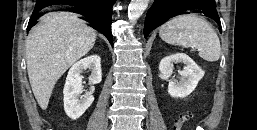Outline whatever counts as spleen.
<instances>
[{
	"mask_svg": "<svg viewBox=\"0 0 257 130\" xmlns=\"http://www.w3.org/2000/svg\"><path fill=\"white\" fill-rule=\"evenodd\" d=\"M159 35L168 44L193 48L208 62L219 60L221 46L212 26L196 14L179 15L160 27Z\"/></svg>",
	"mask_w": 257,
	"mask_h": 130,
	"instance_id": "spleen-1",
	"label": "spleen"
}]
</instances>
